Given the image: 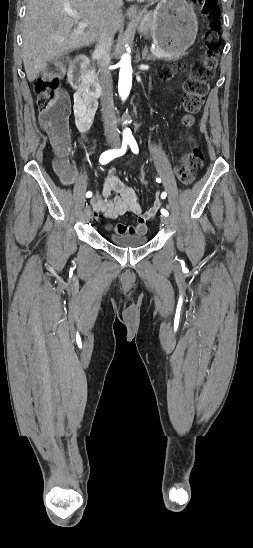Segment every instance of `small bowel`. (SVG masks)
<instances>
[{
  "instance_id": "1",
  "label": "small bowel",
  "mask_w": 253,
  "mask_h": 548,
  "mask_svg": "<svg viewBox=\"0 0 253 548\" xmlns=\"http://www.w3.org/2000/svg\"><path fill=\"white\" fill-rule=\"evenodd\" d=\"M97 108V100L78 92L75 93L73 115L79 132L87 133L91 129ZM61 179L65 185H73L76 181L75 168L71 166L68 174H61ZM90 203L94 217L99 222H102L101 215L112 219L126 213L136 215L137 224L135 226L118 223L114 227V232L122 234L145 233L147 221L155 215L160 204L156 202L150 210L144 211L136 191L118 177L113 169L108 171L100 191L95 193Z\"/></svg>"
}]
</instances>
